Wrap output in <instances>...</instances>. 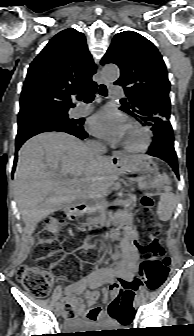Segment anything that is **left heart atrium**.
Returning <instances> with one entry per match:
<instances>
[{
    "instance_id": "1",
    "label": "left heart atrium",
    "mask_w": 194,
    "mask_h": 336,
    "mask_svg": "<svg viewBox=\"0 0 194 336\" xmlns=\"http://www.w3.org/2000/svg\"><path fill=\"white\" fill-rule=\"evenodd\" d=\"M88 128L95 136L117 143L123 141L127 122L117 110L104 108L90 118Z\"/></svg>"
}]
</instances>
